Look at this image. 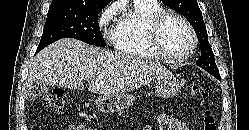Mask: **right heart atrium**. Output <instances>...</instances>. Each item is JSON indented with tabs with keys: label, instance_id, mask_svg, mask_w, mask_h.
<instances>
[{
	"label": "right heart atrium",
	"instance_id": "obj_1",
	"mask_svg": "<svg viewBox=\"0 0 249 130\" xmlns=\"http://www.w3.org/2000/svg\"><path fill=\"white\" fill-rule=\"evenodd\" d=\"M117 8L116 4H110L100 13L98 17V26L100 28L106 29L110 25L117 12Z\"/></svg>",
	"mask_w": 249,
	"mask_h": 130
}]
</instances>
